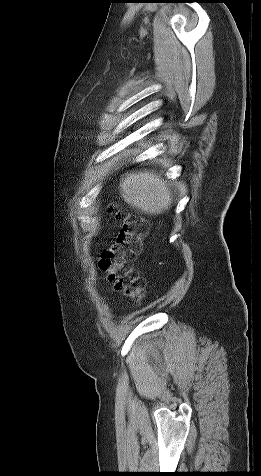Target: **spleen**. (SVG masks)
<instances>
[{"label": "spleen", "mask_w": 261, "mask_h": 476, "mask_svg": "<svg viewBox=\"0 0 261 476\" xmlns=\"http://www.w3.org/2000/svg\"><path fill=\"white\" fill-rule=\"evenodd\" d=\"M119 186L127 204L150 215L164 213L173 202L167 182L153 170L127 173Z\"/></svg>", "instance_id": "obj_1"}]
</instances>
